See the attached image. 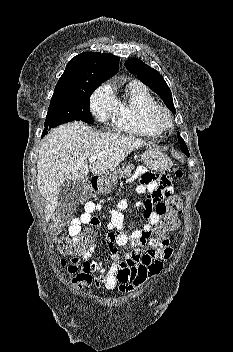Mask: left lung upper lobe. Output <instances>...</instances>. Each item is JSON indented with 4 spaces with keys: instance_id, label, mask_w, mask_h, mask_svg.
<instances>
[{
    "instance_id": "1",
    "label": "left lung upper lobe",
    "mask_w": 233,
    "mask_h": 352,
    "mask_svg": "<svg viewBox=\"0 0 233 352\" xmlns=\"http://www.w3.org/2000/svg\"><path fill=\"white\" fill-rule=\"evenodd\" d=\"M124 65L129 72L135 74L141 82L156 92L162 98L168 109L176 113L171 90L163 79V76L158 71L146 65L144 62L137 58L128 59ZM177 135L181 144L180 148L182 152L189 154L187 146L184 140L180 137L179 132Z\"/></svg>"
}]
</instances>
